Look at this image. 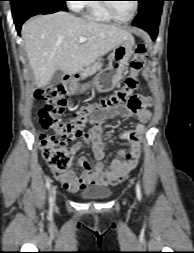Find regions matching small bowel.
Here are the masks:
<instances>
[{
	"label": "small bowel",
	"mask_w": 194,
	"mask_h": 253,
	"mask_svg": "<svg viewBox=\"0 0 194 253\" xmlns=\"http://www.w3.org/2000/svg\"><path fill=\"white\" fill-rule=\"evenodd\" d=\"M126 103L99 112L91 120L90 129L69 148L70 155H75L84 144H89L95 159L94 166L87 157L82 156L79 158V165L83 169L81 174H77L74 170L60 172L52 168L55 177L64 188L75 192L92 185H115L121 182L136 167L141 150L142 136L146 131V123L151 118L150 107L153 100L151 97L140 95V93H131V97H127ZM117 116L134 118L136 123L132 129L123 131L120 134V138L128 144V148L119 150L117 157L107 162L101 123L105 119Z\"/></svg>",
	"instance_id": "small-bowel-1"
}]
</instances>
